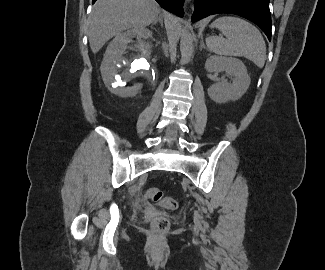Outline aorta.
I'll use <instances>...</instances> for the list:
<instances>
[{
	"label": "aorta",
	"mask_w": 325,
	"mask_h": 270,
	"mask_svg": "<svg viewBox=\"0 0 325 270\" xmlns=\"http://www.w3.org/2000/svg\"><path fill=\"white\" fill-rule=\"evenodd\" d=\"M181 63L185 64L190 61L193 52V37L187 26H185L181 33L180 39Z\"/></svg>",
	"instance_id": "1"
}]
</instances>
